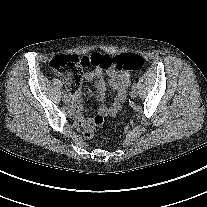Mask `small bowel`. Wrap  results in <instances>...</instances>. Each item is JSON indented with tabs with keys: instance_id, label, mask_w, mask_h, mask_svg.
<instances>
[{
	"instance_id": "obj_1",
	"label": "small bowel",
	"mask_w": 207,
	"mask_h": 207,
	"mask_svg": "<svg viewBox=\"0 0 207 207\" xmlns=\"http://www.w3.org/2000/svg\"><path fill=\"white\" fill-rule=\"evenodd\" d=\"M106 74L109 84L114 92L111 96L112 101L110 106H101L98 110V115L102 117L115 116L118 113L126 98V90L131 83L130 75L125 71H119L115 68H110L107 70ZM103 76L104 71L101 68H96L84 74L86 79L93 80L95 82L96 96L98 100H103L105 96L106 88ZM68 98L76 119L84 128L89 127L92 124V120L83 116L81 113L82 100L79 89L69 93Z\"/></svg>"
}]
</instances>
